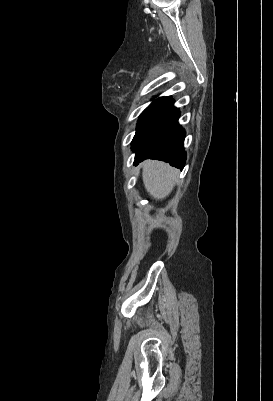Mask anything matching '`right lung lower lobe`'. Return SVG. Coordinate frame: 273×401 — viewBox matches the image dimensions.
<instances>
[{"label":"right lung lower lobe","mask_w":273,"mask_h":401,"mask_svg":"<svg viewBox=\"0 0 273 401\" xmlns=\"http://www.w3.org/2000/svg\"><path fill=\"white\" fill-rule=\"evenodd\" d=\"M179 115L171 99L136 132L131 143L135 165L145 159H157L183 169L185 131L177 122Z\"/></svg>","instance_id":"1"}]
</instances>
